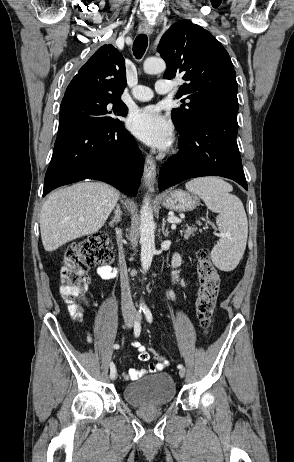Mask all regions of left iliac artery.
Segmentation results:
<instances>
[{
	"instance_id": "obj_1",
	"label": "left iliac artery",
	"mask_w": 294,
	"mask_h": 462,
	"mask_svg": "<svg viewBox=\"0 0 294 462\" xmlns=\"http://www.w3.org/2000/svg\"><path fill=\"white\" fill-rule=\"evenodd\" d=\"M143 312H144V314H145V317H146L147 321H148L149 323H152L153 317H152V313H151V311L149 310V308L144 307V308H143ZM177 368H178V369H182V368H184V366H183L182 364H179V365L177 366Z\"/></svg>"
}]
</instances>
